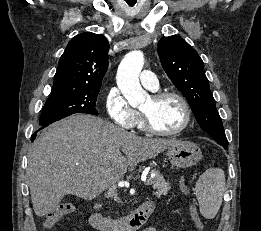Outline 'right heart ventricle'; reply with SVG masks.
Listing matches in <instances>:
<instances>
[{
  "instance_id": "1",
  "label": "right heart ventricle",
  "mask_w": 261,
  "mask_h": 231,
  "mask_svg": "<svg viewBox=\"0 0 261 231\" xmlns=\"http://www.w3.org/2000/svg\"><path fill=\"white\" fill-rule=\"evenodd\" d=\"M136 126H137L139 129H141V130L144 129L141 115H139V118H138V121H137Z\"/></svg>"
}]
</instances>
